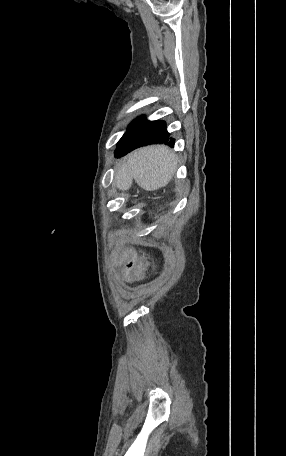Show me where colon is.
Returning a JSON list of instances; mask_svg holds the SVG:
<instances>
[{"label": "colon", "mask_w": 286, "mask_h": 456, "mask_svg": "<svg viewBox=\"0 0 286 456\" xmlns=\"http://www.w3.org/2000/svg\"><path fill=\"white\" fill-rule=\"evenodd\" d=\"M146 266V262L143 259L138 258L135 266V273L137 278H139L142 274L143 269Z\"/></svg>", "instance_id": "colon-1"}]
</instances>
